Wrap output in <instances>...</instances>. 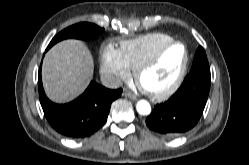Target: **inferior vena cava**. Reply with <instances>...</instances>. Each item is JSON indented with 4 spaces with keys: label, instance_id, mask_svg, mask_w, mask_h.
<instances>
[{
    "label": "inferior vena cava",
    "instance_id": "1",
    "mask_svg": "<svg viewBox=\"0 0 249 165\" xmlns=\"http://www.w3.org/2000/svg\"><path fill=\"white\" fill-rule=\"evenodd\" d=\"M102 84L111 89H116L122 86V81L120 78L113 75H105L101 77Z\"/></svg>",
    "mask_w": 249,
    "mask_h": 165
}]
</instances>
